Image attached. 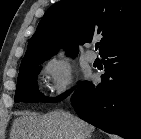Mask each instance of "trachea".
<instances>
[{
  "instance_id": "trachea-1",
  "label": "trachea",
  "mask_w": 141,
  "mask_h": 139,
  "mask_svg": "<svg viewBox=\"0 0 141 139\" xmlns=\"http://www.w3.org/2000/svg\"><path fill=\"white\" fill-rule=\"evenodd\" d=\"M98 47H99V44H96V45H95V48L98 49Z\"/></svg>"
}]
</instances>
